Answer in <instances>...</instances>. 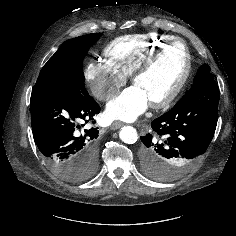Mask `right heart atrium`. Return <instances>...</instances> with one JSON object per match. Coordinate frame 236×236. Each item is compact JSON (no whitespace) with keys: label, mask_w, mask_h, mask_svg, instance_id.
<instances>
[{"label":"right heart atrium","mask_w":236,"mask_h":236,"mask_svg":"<svg viewBox=\"0 0 236 236\" xmlns=\"http://www.w3.org/2000/svg\"><path fill=\"white\" fill-rule=\"evenodd\" d=\"M85 77L95 98L103 102L114 96L126 81L124 74L103 59L89 62Z\"/></svg>","instance_id":"1"}]
</instances>
